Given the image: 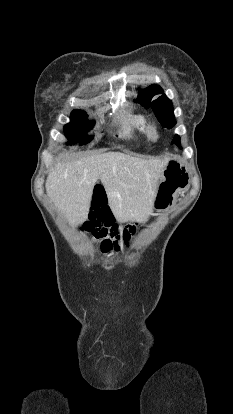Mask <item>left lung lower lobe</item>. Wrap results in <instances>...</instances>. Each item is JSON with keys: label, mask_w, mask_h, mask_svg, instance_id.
Wrapping results in <instances>:
<instances>
[{"label": "left lung lower lobe", "mask_w": 233, "mask_h": 414, "mask_svg": "<svg viewBox=\"0 0 233 414\" xmlns=\"http://www.w3.org/2000/svg\"><path fill=\"white\" fill-rule=\"evenodd\" d=\"M177 143V145H180V138H179V136L178 135H175V137H174V140H173V143Z\"/></svg>", "instance_id": "1"}]
</instances>
